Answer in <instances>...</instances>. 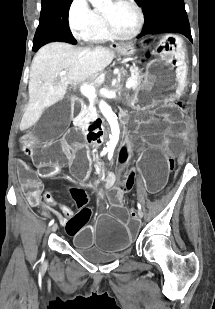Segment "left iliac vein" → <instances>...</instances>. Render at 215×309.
I'll list each match as a JSON object with an SVG mask.
<instances>
[{"instance_id": "1", "label": "left iliac vein", "mask_w": 215, "mask_h": 309, "mask_svg": "<svg viewBox=\"0 0 215 309\" xmlns=\"http://www.w3.org/2000/svg\"><path fill=\"white\" fill-rule=\"evenodd\" d=\"M138 217H139V219H141L143 217V215L138 212Z\"/></svg>"}]
</instances>
